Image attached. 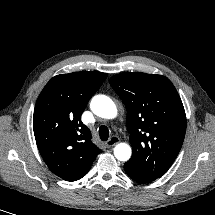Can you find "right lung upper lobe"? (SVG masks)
Returning a JSON list of instances; mask_svg holds the SVG:
<instances>
[{"label":"right lung upper lobe","instance_id":"obj_1","mask_svg":"<svg viewBox=\"0 0 215 215\" xmlns=\"http://www.w3.org/2000/svg\"><path fill=\"white\" fill-rule=\"evenodd\" d=\"M106 77L97 71L57 75L36 101L33 129L37 147L49 169L66 181L85 176L101 152L92 143L81 115Z\"/></svg>","mask_w":215,"mask_h":215}]
</instances>
